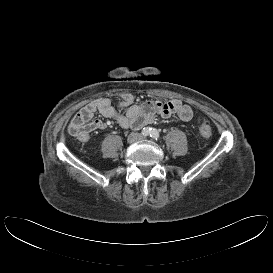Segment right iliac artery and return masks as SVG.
Masks as SVG:
<instances>
[{
    "mask_svg": "<svg viewBox=\"0 0 273 273\" xmlns=\"http://www.w3.org/2000/svg\"><path fill=\"white\" fill-rule=\"evenodd\" d=\"M150 133H151V128H148V127L143 128V130H142L143 136H148V135H150Z\"/></svg>",
    "mask_w": 273,
    "mask_h": 273,
    "instance_id": "1",
    "label": "right iliac artery"
}]
</instances>
